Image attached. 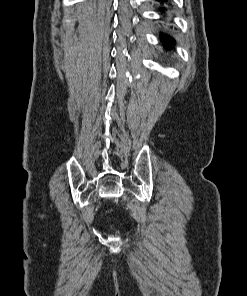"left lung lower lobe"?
<instances>
[{
  "mask_svg": "<svg viewBox=\"0 0 247 296\" xmlns=\"http://www.w3.org/2000/svg\"><path fill=\"white\" fill-rule=\"evenodd\" d=\"M158 1H163V2H165V1H167V0H158ZM161 10H164V9L162 8ZM161 37H162V39H163V43L165 44L166 47H171V46L173 45V42H174V41L172 40V38L167 37V36H165V35H162Z\"/></svg>",
  "mask_w": 247,
  "mask_h": 296,
  "instance_id": "0a47b994",
  "label": "left lung lower lobe"
}]
</instances>
